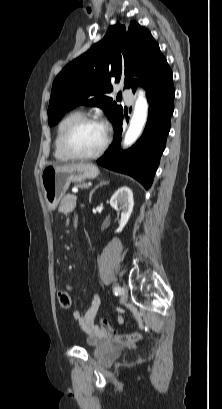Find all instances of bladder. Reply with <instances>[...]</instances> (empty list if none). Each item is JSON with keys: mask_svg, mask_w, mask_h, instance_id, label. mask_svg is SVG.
<instances>
[{"mask_svg": "<svg viewBox=\"0 0 222 409\" xmlns=\"http://www.w3.org/2000/svg\"><path fill=\"white\" fill-rule=\"evenodd\" d=\"M123 353V348L110 343H102L93 349V355L103 366H108L111 361Z\"/></svg>", "mask_w": 222, "mask_h": 409, "instance_id": "bladder-1", "label": "bladder"}]
</instances>
